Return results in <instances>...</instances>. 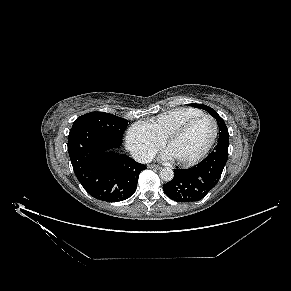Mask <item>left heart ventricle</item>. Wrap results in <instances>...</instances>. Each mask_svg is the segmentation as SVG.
<instances>
[{"instance_id": "1", "label": "left heart ventricle", "mask_w": 291, "mask_h": 291, "mask_svg": "<svg viewBox=\"0 0 291 291\" xmlns=\"http://www.w3.org/2000/svg\"><path fill=\"white\" fill-rule=\"evenodd\" d=\"M213 134V124L207 118L194 122L167 148L173 159L185 161L199 155L208 145Z\"/></svg>"}]
</instances>
